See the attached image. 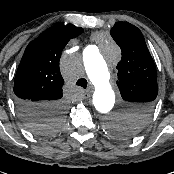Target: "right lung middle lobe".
Here are the masks:
<instances>
[{"label":"right lung middle lobe","instance_id":"1","mask_svg":"<svg viewBox=\"0 0 174 174\" xmlns=\"http://www.w3.org/2000/svg\"><path fill=\"white\" fill-rule=\"evenodd\" d=\"M61 120L59 112L49 113L45 121L39 120L36 123L28 124V127L35 133L46 135L56 129Z\"/></svg>","mask_w":174,"mask_h":174}]
</instances>
